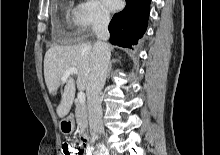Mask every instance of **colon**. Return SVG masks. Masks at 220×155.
I'll use <instances>...</instances> for the list:
<instances>
[{
  "mask_svg": "<svg viewBox=\"0 0 220 155\" xmlns=\"http://www.w3.org/2000/svg\"><path fill=\"white\" fill-rule=\"evenodd\" d=\"M86 145H65L62 144V153L63 155H82L83 149H85Z\"/></svg>",
  "mask_w": 220,
  "mask_h": 155,
  "instance_id": "obj_1",
  "label": "colon"
}]
</instances>
